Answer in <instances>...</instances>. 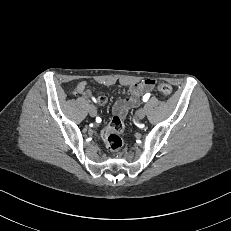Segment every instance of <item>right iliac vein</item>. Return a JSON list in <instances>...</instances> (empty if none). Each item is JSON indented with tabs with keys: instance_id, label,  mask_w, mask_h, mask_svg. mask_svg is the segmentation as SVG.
Here are the masks:
<instances>
[{
	"instance_id": "1",
	"label": "right iliac vein",
	"mask_w": 231,
	"mask_h": 231,
	"mask_svg": "<svg viewBox=\"0 0 231 231\" xmlns=\"http://www.w3.org/2000/svg\"><path fill=\"white\" fill-rule=\"evenodd\" d=\"M96 113H97V111H96L95 106H94V105H90V106H89V114H90V116H91V117H95V116H96Z\"/></svg>"
}]
</instances>
